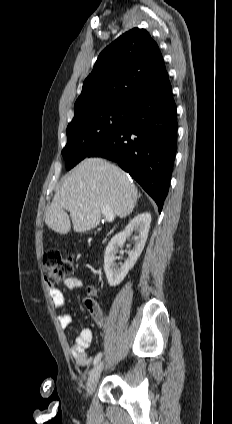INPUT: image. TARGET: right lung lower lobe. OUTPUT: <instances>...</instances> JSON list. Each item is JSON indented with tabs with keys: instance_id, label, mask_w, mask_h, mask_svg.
I'll list each match as a JSON object with an SVG mask.
<instances>
[{
	"instance_id": "98d812e1",
	"label": "right lung lower lobe",
	"mask_w": 232,
	"mask_h": 424,
	"mask_svg": "<svg viewBox=\"0 0 232 424\" xmlns=\"http://www.w3.org/2000/svg\"><path fill=\"white\" fill-rule=\"evenodd\" d=\"M177 143L176 105L167 76L131 106L125 125L87 157L115 161L155 200L161 212L167 196Z\"/></svg>"
}]
</instances>
